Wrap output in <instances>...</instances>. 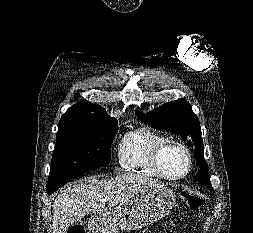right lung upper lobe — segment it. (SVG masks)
Listing matches in <instances>:
<instances>
[{
  "mask_svg": "<svg viewBox=\"0 0 253 233\" xmlns=\"http://www.w3.org/2000/svg\"><path fill=\"white\" fill-rule=\"evenodd\" d=\"M64 115H75V116H86V117H97L108 119L111 118L107 115L104 108L97 104H92L88 101H81L73 105L67 110ZM115 119V118H111ZM116 120V119H115Z\"/></svg>",
  "mask_w": 253,
  "mask_h": 233,
  "instance_id": "obj_1",
  "label": "right lung upper lobe"
}]
</instances>
